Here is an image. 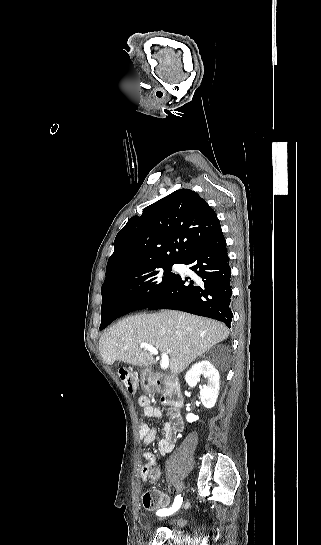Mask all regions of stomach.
<instances>
[{"label":"stomach","instance_id":"1","mask_svg":"<svg viewBox=\"0 0 321 545\" xmlns=\"http://www.w3.org/2000/svg\"><path fill=\"white\" fill-rule=\"evenodd\" d=\"M150 371L148 369V367H142L141 369V383H142V387L143 389H145L146 385H145V381H146V377H148Z\"/></svg>","mask_w":321,"mask_h":545}]
</instances>
